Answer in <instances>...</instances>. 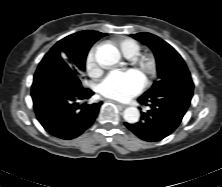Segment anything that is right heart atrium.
Segmentation results:
<instances>
[{"label": "right heart atrium", "mask_w": 222, "mask_h": 187, "mask_svg": "<svg viewBox=\"0 0 222 187\" xmlns=\"http://www.w3.org/2000/svg\"><path fill=\"white\" fill-rule=\"evenodd\" d=\"M96 47H92L87 53L85 67L91 76H96L100 69L95 57Z\"/></svg>", "instance_id": "right-heart-atrium-1"}]
</instances>
